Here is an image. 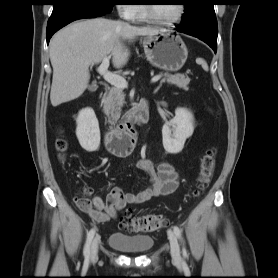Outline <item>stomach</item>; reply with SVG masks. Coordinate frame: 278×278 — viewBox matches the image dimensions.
Here are the masks:
<instances>
[{
  "mask_svg": "<svg viewBox=\"0 0 278 278\" xmlns=\"http://www.w3.org/2000/svg\"><path fill=\"white\" fill-rule=\"evenodd\" d=\"M143 47L150 64L165 71L180 70L188 56L187 47L180 36L167 31L145 37Z\"/></svg>",
  "mask_w": 278,
  "mask_h": 278,
  "instance_id": "obj_1",
  "label": "stomach"
}]
</instances>
